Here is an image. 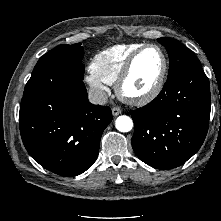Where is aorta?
<instances>
[{
    "mask_svg": "<svg viewBox=\"0 0 221 221\" xmlns=\"http://www.w3.org/2000/svg\"><path fill=\"white\" fill-rule=\"evenodd\" d=\"M115 127L120 132H129L133 128V121L129 116L122 115L115 120Z\"/></svg>",
    "mask_w": 221,
    "mask_h": 221,
    "instance_id": "762f6f07",
    "label": "aorta"
}]
</instances>
